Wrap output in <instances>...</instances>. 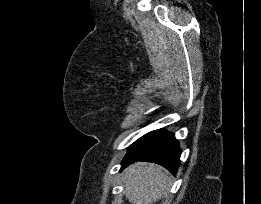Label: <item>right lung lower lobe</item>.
<instances>
[{
  "instance_id": "right-lung-lower-lobe-1",
  "label": "right lung lower lobe",
  "mask_w": 261,
  "mask_h": 204,
  "mask_svg": "<svg viewBox=\"0 0 261 204\" xmlns=\"http://www.w3.org/2000/svg\"><path fill=\"white\" fill-rule=\"evenodd\" d=\"M181 149L175 137L160 130L147 133L135 141L122 161L121 170L137 161L154 162L175 174L180 164Z\"/></svg>"
}]
</instances>
